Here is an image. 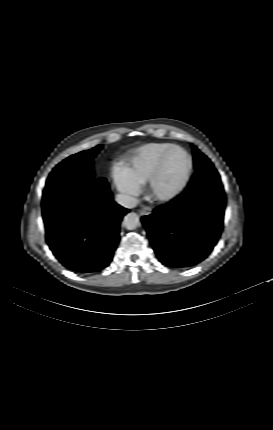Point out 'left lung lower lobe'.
I'll return each instance as SVG.
<instances>
[{
    "label": "left lung lower lobe",
    "mask_w": 273,
    "mask_h": 430,
    "mask_svg": "<svg viewBox=\"0 0 273 430\" xmlns=\"http://www.w3.org/2000/svg\"><path fill=\"white\" fill-rule=\"evenodd\" d=\"M225 193L217 170L197 171L187 187L165 205L142 217L159 260L173 268L203 261L216 245L222 229Z\"/></svg>",
    "instance_id": "obj_1"
}]
</instances>
